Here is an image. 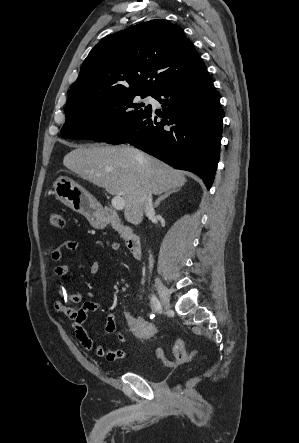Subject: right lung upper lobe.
I'll use <instances>...</instances> for the list:
<instances>
[{
    "instance_id": "1",
    "label": "right lung upper lobe",
    "mask_w": 299,
    "mask_h": 443,
    "mask_svg": "<svg viewBox=\"0 0 299 443\" xmlns=\"http://www.w3.org/2000/svg\"><path fill=\"white\" fill-rule=\"evenodd\" d=\"M204 68L178 26L151 20L102 39L83 62L66 105L122 92L154 94Z\"/></svg>"
}]
</instances>
